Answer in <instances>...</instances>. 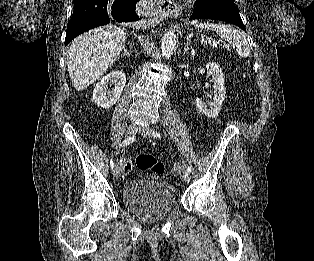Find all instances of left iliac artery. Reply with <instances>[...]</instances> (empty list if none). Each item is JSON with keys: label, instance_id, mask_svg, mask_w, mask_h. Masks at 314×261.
Segmentation results:
<instances>
[{"label": "left iliac artery", "instance_id": "obj_1", "mask_svg": "<svg viewBox=\"0 0 314 261\" xmlns=\"http://www.w3.org/2000/svg\"><path fill=\"white\" fill-rule=\"evenodd\" d=\"M152 135H153L155 138H160V137H161V136H160V133L157 132V131H153V132H152ZM187 171H188L189 173H191V172H192V168H191L190 166H187Z\"/></svg>", "mask_w": 314, "mask_h": 261}]
</instances>
